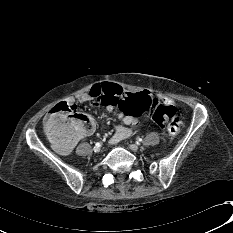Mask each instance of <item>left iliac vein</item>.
Returning a JSON list of instances; mask_svg holds the SVG:
<instances>
[{"instance_id":"1","label":"left iliac vein","mask_w":233,"mask_h":233,"mask_svg":"<svg viewBox=\"0 0 233 233\" xmlns=\"http://www.w3.org/2000/svg\"><path fill=\"white\" fill-rule=\"evenodd\" d=\"M129 148L132 150V151H138L139 150V147H138V145H136V144H130L129 145Z\"/></svg>"}]
</instances>
